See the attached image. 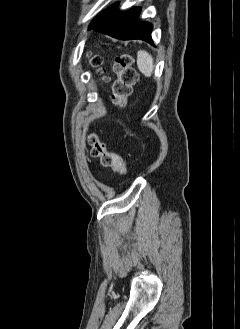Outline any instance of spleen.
Segmentation results:
<instances>
[{"label": "spleen", "instance_id": "spleen-1", "mask_svg": "<svg viewBox=\"0 0 240 329\" xmlns=\"http://www.w3.org/2000/svg\"><path fill=\"white\" fill-rule=\"evenodd\" d=\"M137 66L142 74L151 77L154 70V61L152 56L144 50L137 52Z\"/></svg>", "mask_w": 240, "mask_h": 329}]
</instances>
